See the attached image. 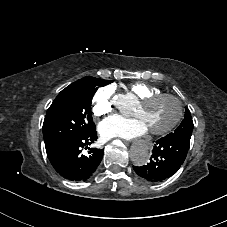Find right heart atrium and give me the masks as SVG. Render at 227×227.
<instances>
[{"label": "right heart atrium", "mask_w": 227, "mask_h": 227, "mask_svg": "<svg viewBox=\"0 0 227 227\" xmlns=\"http://www.w3.org/2000/svg\"><path fill=\"white\" fill-rule=\"evenodd\" d=\"M93 113L106 116L113 111V86L101 87L94 95Z\"/></svg>", "instance_id": "right-heart-atrium-1"}]
</instances>
